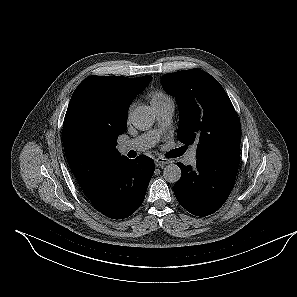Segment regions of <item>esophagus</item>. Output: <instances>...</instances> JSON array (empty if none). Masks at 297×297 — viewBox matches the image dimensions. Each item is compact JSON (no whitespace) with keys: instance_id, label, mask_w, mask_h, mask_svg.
<instances>
[{"instance_id":"1","label":"esophagus","mask_w":297,"mask_h":297,"mask_svg":"<svg viewBox=\"0 0 297 297\" xmlns=\"http://www.w3.org/2000/svg\"><path fill=\"white\" fill-rule=\"evenodd\" d=\"M154 162H155L156 167H163V166L169 164L170 160L159 157V158H156L154 160Z\"/></svg>"}]
</instances>
